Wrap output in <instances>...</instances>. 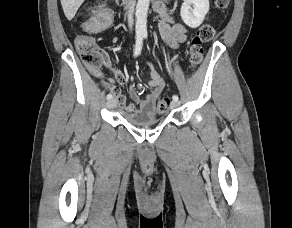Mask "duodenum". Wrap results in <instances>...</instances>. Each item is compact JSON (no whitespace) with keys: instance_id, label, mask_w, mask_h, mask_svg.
<instances>
[{"instance_id":"duodenum-1","label":"duodenum","mask_w":292,"mask_h":228,"mask_svg":"<svg viewBox=\"0 0 292 228\" xmlns=\"http://www.w3.org/2000/svg\"><path fill=\"white\" fill-rule=\"evenodd\" d=\"M121 4H122L123 6H126V5L128 4V0H121Z\"/></svg>"}]
</instances>
